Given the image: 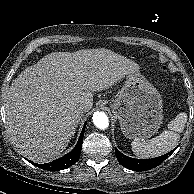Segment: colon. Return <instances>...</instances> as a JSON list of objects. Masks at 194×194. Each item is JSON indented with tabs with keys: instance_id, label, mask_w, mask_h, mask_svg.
<instances>
[{
	"instance_id": "1",
	"label": "colon",
	"mask_w": 194,
	"mask_h": 194,
	"mask_svg": "<svg viewBox=\"0 0 194 194\" xmlns=\"http://www.w3.org/2000/svg\"><path fill=\"white\" fill-rule=\"evenodd\" d=\"M147 58H148L150 61H155V60H156V55L150 54V55H148ZM161 71H162L163 73H167V68H166V66H161Z\"/></svg>"
}]
</instances>
